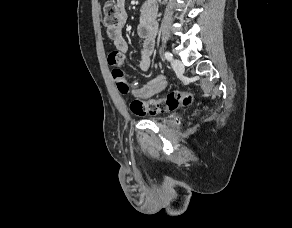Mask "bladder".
I'll return each instance as SVG.
<instances>
[{
  "label": "bladder",
  "mask_w": 292,
  "mask_h": 228,
  "mask_svg": "<svg viewBox=\"0 0 292 228\" xmlns=\"http://www.w3.org/2000/svg\"><path fill=\"white\" fill-rule=\"evenodd\" d=\"M172 117H173V115H167V116H164V117L160 118L159 121L166 122L169 119H171Z\"/></svg>",
  "instance_id": "bladder-1"
}]
</instances>
